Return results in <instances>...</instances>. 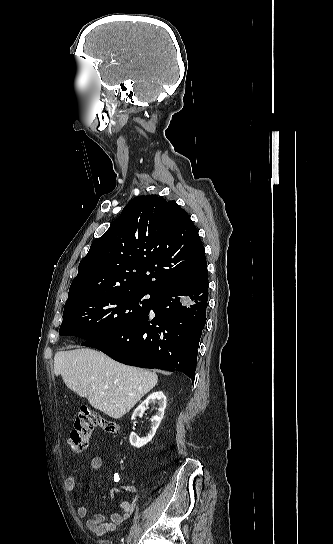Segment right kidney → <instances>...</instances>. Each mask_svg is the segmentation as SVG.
<instances>
[{
    "mask_svg": "<svg viewBox=\"0 0 333 544\" xmlns=\"http://www.w3.org/2000/svg\"><path fill=\"white\" fill-rule=\"evenodd\" d=\"M150 403L157 404L159 406L158 412L153 418L151 419V429L148 433V435L145 438L138 437L134 432L130 434V444L134 447L140 448L150 442L152 438L154 437L157 428L160 425V422L164 416V410L166 408V396L163 394L162 391H156L150 394L146 400H144L134 411L132 415V419H134L137 416H142L148 407Z\"/></svg>",
    "mask_w": 333,
    "mask_h": 544,
    "instance_id": "obj_1",
    "label": "right kidney"
}]
</instances>
